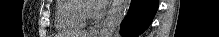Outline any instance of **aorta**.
Wrapping results in <instances>:
<instances>
[{"mask_svg":"<svg viewBox=\"0 0 219 37\" xmlns=\"http://www.w3.org/2000/svg\"><path fill=\"white\" fill-rule=\"evenodd\" d=\"M130 4L131 0H113L112 6L100 31L101 37H113L114 33L124 19Z\"/></svg>","mask_w":219,"mask_h":37,"instance_id":"762f6f07","label":"aorta"}]
</instances>
